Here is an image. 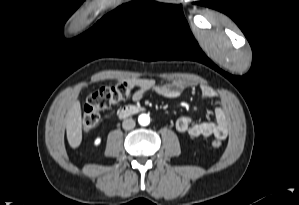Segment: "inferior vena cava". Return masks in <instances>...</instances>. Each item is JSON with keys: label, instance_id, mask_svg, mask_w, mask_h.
I'll list each match as a JSON object with an SVG mask.
<instances>
[{"label": "inferior vena cava", "instance_id": "602c4592", "mask_svg": "<svg viewBox=\"0 0 299 205\" xmlns=\"http://www.w3.org/2000/svg\"><path fill=\"white\" fill-rule=\"evenodd\" d=\"M122 127L124 130H132L135 127V121L133 119H125L122 122Z\"/></svg>", "mask_w": 299, "mask_h": 205}]
</instances>
